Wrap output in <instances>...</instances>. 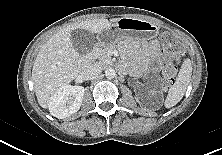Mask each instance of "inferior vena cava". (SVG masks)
Segmentation results:
<instances>
[{
	"label": "inferior vena cava",
	"instance_id": "1",
	"mask_svg": "<svg viewBox=\"0 0 222 155\" xmlns=\"http://www.w3.org/2000/svg\"><path fill=\"white\" fill-rule=\"evenodd\" d=\"M102 71V66L100 64L94 63L87 65L81 72V76L84 80H90L100 74Z\"/></svg>",
	"mask_w": 222,
	"mask_h": 155
}]
</instances>
